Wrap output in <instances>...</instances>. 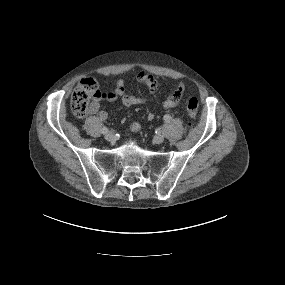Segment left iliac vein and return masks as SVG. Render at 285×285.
<instances>
[{
  "label": "left iliac vein",
  "mask_w": 285,
  "mask_h": 285,
  "mask_svg": "<svg viewBox=\"0 0 285 285\" xmlns=\"http://www.w3.org/2000/svg\"><path fill=\"white\" fill-rule=\"evenodd\" d=\"M154 142H155L156 144H161V143H163V142H164V136L161 135V134L156 135V136L154 137Z\"/></svg>",
  "instance_id": "1"
}]
</instances>
